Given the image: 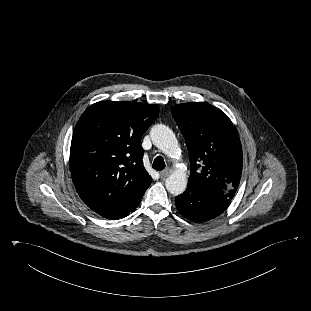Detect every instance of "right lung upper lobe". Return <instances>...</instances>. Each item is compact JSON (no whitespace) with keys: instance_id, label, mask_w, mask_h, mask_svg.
Listing matches in <instances>:
<instances>
[{"instance_id":"right-lung-upper-lobe-1","label":"right lung upper lobe","mask_w":311,"mask_h":311,"mask_svg":"<svg viewBox=\"0 0 311 311\" xmlns=\"http://www.w3.org/2000/svg\"><path fill=\"white\" fill-rule=\"evenodd\" d=\"M158 114L156 104L102 101L81 115L69 162L77 193L90 209L116 214L140 201L152 182L141 137Z\"/></svg>"}]
</instances>
